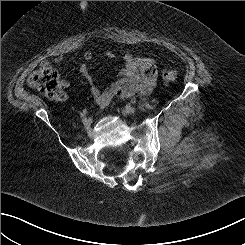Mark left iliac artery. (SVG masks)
Wrapping results in <instances>:
<instances>
[{
  "label": "left iliac artery",
  "mask_w": 245,
  "mask_h": 245,
  "mask_svg": "<svg viewBox=\"0 0 245 245\" xmlns=\"http://www.w3.org/2000/svg\"><path fill=\"white\" fill-rule=\"evenodd\" d=\"M130 102H131L132 104H135L137 101H136V99H131Z\"/></svg>",
  "instance_id": "1"
}]
</instances>
